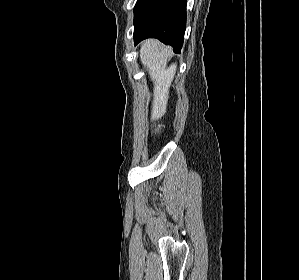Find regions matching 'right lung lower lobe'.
Returning a JSON list of instances; mask_svg holds the SVG:
<instances>
[{"mask_svg":"<svg viewBox=\"0 0 299 280\" xmlns=\"http://www.w3.org/2000/svg\"><path fill=\"white\" fill-rule=\"evenodd\" d=\"M187 0H137L134 8L135 45L157 38L180 53L186 29Z\"/></svg>","mask_w":299,"mask_h":280,"instance_id":"98d812e1","label":"right lung lower lobe"}]
</instances>
